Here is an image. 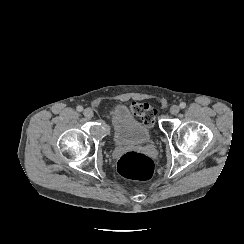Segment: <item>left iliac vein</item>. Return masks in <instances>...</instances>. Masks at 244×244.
Here are the masks:
<instances>
[{
  "instance_id": "obj_1",
  "label": "left iliac vein",
  "mask_w": 244,
  "mask_h": 244,
  "mask_svg": "<svg viewBox=\"0 0 244 244\" xmlns=\"http://www.w3.org/2000/svg\"><path fill=\"white\" fill-rule=\"evenodd\" d=\"M179 110H180V108H179V106H177V105H172V106L170 107V112H171V114H173V115L178 114V113H179Z\"/></svg>"
}]
</instances>
